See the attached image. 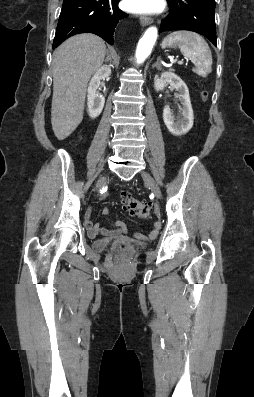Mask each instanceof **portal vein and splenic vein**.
<instances>
[{"instance_id": "18ae733b", "label": "portal vein and splenic vein", "mask_w": 254, "mask_h": 397, "mask_svg": "<svg viewBox=\"0 0 254 397\" xmlns=\"http://www.w3.org/2000/svg\"><path fill=\"white\" fill-rule=\"evenodd\" d=\"M177 63L178 64H183L184 62H183V60H181V61H178Z\"/></svg>"}]
</instances>
